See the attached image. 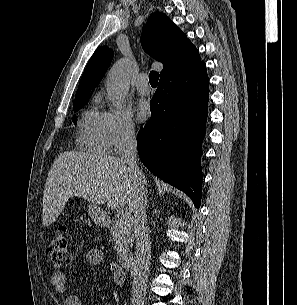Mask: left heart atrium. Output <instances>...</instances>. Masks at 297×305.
I'll use <instances>...</instances> for the list:
<instances>
[{"label":"left heart atrium","instance_id":"left-heart-atrium-1","mask_svg":"<svg viewBox=\"0 0 297 305\" xmlns=\"http://www.w3.org/2000/svg\"><path fill=\"white\" fill-rule=\"evenodd\" d=\"M136 113H137V117L140 121H145L150 114V108H149L148 103L140 102L137 105Z\"/></svg>","mask_w":297,"mask_h":305}]
</instances>
